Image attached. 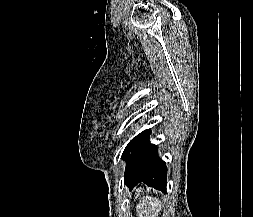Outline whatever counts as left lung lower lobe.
<instances>
[{
	"label": "left lung lower lobe",
	"instance_id": "0a47b994",
	"mask_svg": "<svg viewBox=\"0 0 253 217\" xmlns=\"http://www.w3.org/2000/svg\"><path fill=\"white\" fill-rule=\"evenodd\" d=\"M150 130L147 129L126 146L122 158L126 160L125 184L130 190L140 182L156 189L166 191L165 162L158 157L157 147L149 144Z\"/></svg>",
	"mask_w": 253,
	"mask_h": 217
}]
</instances>
